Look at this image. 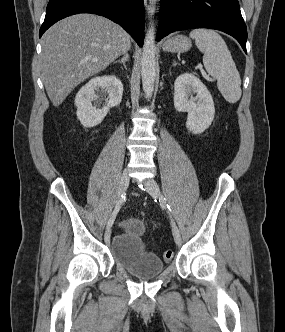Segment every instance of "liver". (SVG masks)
<instances>
[{
	"instance_id": "6515ba94",
	"label": "liver",
	"mask_w": 285,
	"mask_h": 332,
	"mask_svg": "<svg viewBox=\"0 0 285 332\" xmlns=\"http://www.w3.org/2000/svg\"><path fill=\"white\" fill-rule=\"evenodd\" d=\"M130 48L118 24L93 14H76L42 37L41 71L46 92L58 107L87 78L106 69Z\"/></svg>"
}]
</instances>
